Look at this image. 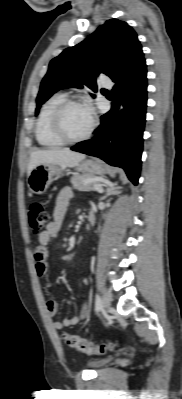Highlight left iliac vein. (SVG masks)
Listing matches in <instances>:
<instances>
[{
    "label": "left iliac vein",
    "mask_w": 182,
    "mask_h": 399,
    "mask_svg": "<svg viewBox=\"0 0 182 399\" xmlns=\"http://www.w3.org/2000/svg\"><path fill=\"white\" fill-rule=\"evenodd\" d=\"M111 302V295L108 292H105L103 295V306L107 312L111 309Z\"/></svg>",
    "instance_id": "left-iliac-vein-1"
}]
</instances>
